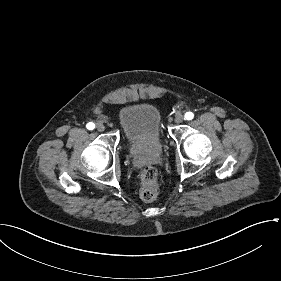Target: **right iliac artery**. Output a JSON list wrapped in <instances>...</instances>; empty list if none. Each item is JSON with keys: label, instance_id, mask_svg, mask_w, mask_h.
I'll return each instance as SVG.
<instances>
[{"label": "right iliac artery", "instance_id": "1", "mask_svg": "<svg viewBox=\"0 0 281 281\" xmlns=\"http://www.w3.org/2000/svg\"><path fill=\"white\" fill-rule=\"evenodd\" d=\"M94 128H95V124H94V123L89 122V123L87 124V129L92 130V129H94Z\"/></svg>", "mask_w": 281, "mask_h": 281}]
</instances>
